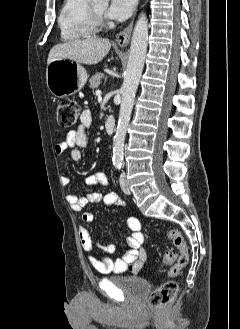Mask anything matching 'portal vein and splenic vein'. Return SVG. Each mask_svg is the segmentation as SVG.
Segmentation results:
<instances>
[{
    "label": "portal vein and splenic vein",
    "instance_id": "obj_1",
    "mask_svg": "<svg viewBox=\"0 0 240 329\" xmlns=\"http://www.w3.org/2000/svg\"><path fill=\"white\" fill-rule=\"evenodd\" d=\"M102 92L100 90L96 91V95H100Z\"/></svg>",
    "mask_w": 240,
    "mask_h": 329
}]
</instances>
